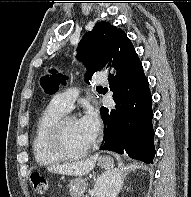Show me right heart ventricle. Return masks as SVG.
I'll return each instance as SVG.
<instances>
[{
  "mask_svg": "<svg viewBox=\"0 0 191 197\" xmlns=\"http://www.w3.org/2000/svg\"><path fill=\"white\" fill-rule=\"evenodd\" d=\"M65 113L66 112L57 107L53 102H50L37 120L32 142V151L39 165H55L63 160L52 150L49 135L54 124L62 118Z\"/></svg>",
  "mask_w": 191,
  "mask_h": 197,
  "instance_id": "1",
  "label": "right heart ventricle"
}]
</instances>
